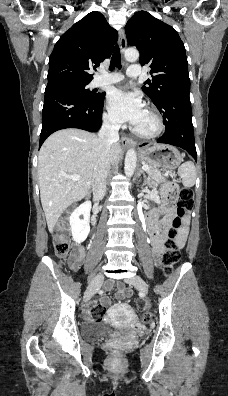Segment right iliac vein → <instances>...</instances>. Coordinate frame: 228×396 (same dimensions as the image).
Here are the masks:
<instances>
[{"instance_id": "1", "label": "right iliac vein", "mask_w": 228, "mask_h": 396, "mask_svg": "<svg viewBox=\"0 0 228 396\" xmlns=\"http://www.w3.org/2000/svg\"><path fill=\"white\" fill-rule=\"evenodd\" d=\"M103 279H104L103 273H99L95 276V278L92 280V282L90 283V285L88 286V288L85 292L84 301H88L89 299L92 298V296L96 293V291L101 286Z\"/></svg>"}]
</instances>
